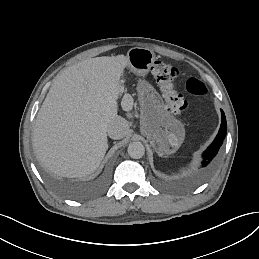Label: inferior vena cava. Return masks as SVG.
Returning <instances> with one entry per match:
<instances>
[{"instance_id": "602c4592", "label": "inferior vena cava", "mask_w": 259, "mask_h": 259, "mask_svg": "<svg viewBox=\"0 0 259 259\" xmlns=\"http://www.w3.org/2000/svg\"><path fill=\"white\" fill-rule=\"evenodd\" d=\"M128 127V122L124 118L117 117L108 124L107 134L111 139L119 140L126 135Z\"/></svg>"}]
</instances>
